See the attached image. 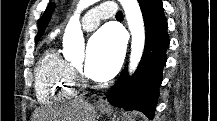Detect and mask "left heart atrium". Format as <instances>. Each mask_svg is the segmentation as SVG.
Returning a JSON list of instances; mask_svg holds the SVG:
<instances>
[{"label": "left heart atrium", "mask_w": 217, "mask_h": 121, "mask_svg": "<svg viewBox=\"0 0 217 121\" xmlns=\"http://www.w3.org/2000/svg\"><path fill=\"white\" fill-rule=\"evenodd\" d=\"M123 55L124 41L121 33L113 26H106L89 41L85 72L94 80H108L118 71Z\"/></svg>", "instance_id": "39dd6f15"}]
</instances>
